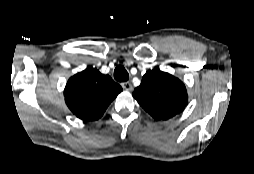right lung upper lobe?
Wrapping results in <instances>:
<instances>
[{"label": "right lung upper lobe", "instance_id": "right-lung-upper-lobe-1", "mask_svg": "<svg viewBox=\"0 0 254 174\" xmlns=\"http://www.w3.org/2000/svg\"><path fill=\"white\" fill-rule=\"evenodd\" d=\"M121 91V86L110 76L89 68L68 80L64 96L73 114L84 121H95Z\"/></svg>", "mask_w": 254, "mask_h": 174}]
</instances>
